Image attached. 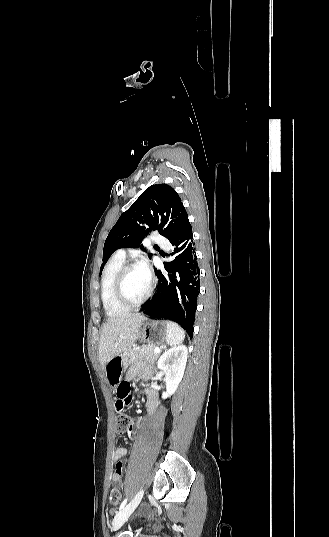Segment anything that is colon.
<instances>
[{
  "label": "colon",
  "instance_id": "5ec220e1",
  "mask_svg": "<svg viewBox=\"0 0 329 537\" xmlns=\"http://www.w3.org/2000/svg\"><path fill=\"white\" fill-rule=\"evenodd\" d=\"M131 387V386H130ZM128 406V405H126ZM133 419L124 413H120L115 421V430L122 434L132 427ZM121 500V492L118 489H112L109 493V503L112 506H117Z\"/></svg>",
  "mask_w": 329,
  "mask_h": 537
}]
</instances>
